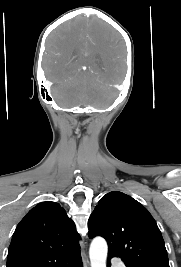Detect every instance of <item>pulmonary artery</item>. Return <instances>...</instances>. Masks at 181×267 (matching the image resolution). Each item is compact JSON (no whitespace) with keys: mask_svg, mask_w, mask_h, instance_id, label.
Returning a JSON list of instances; mask_svg holds the SVG:
<instances>
[{"mask_svg":"<svg viewBox=\"0 0 181 267\" xmlns=\"http://www.w3.org/2000/svg\"><path fill=\"white\" fill-rule=\"evenodd\" d=\"M116 267H125L122 262H117Z\"/></svg>","mask_w":181,"mask_h":267,"instance_id":"e3ab8cb5","label":"pulmonary artery"}]
</instances>
